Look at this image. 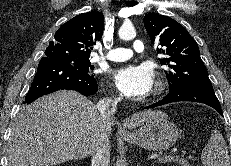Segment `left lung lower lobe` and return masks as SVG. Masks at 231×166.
<instances>
[{"mask_svg":"<svg viewBox=\"0 0 231 166\" xmlns=\"http://www.w3.org/2000/svg\"><path fill=\"white\" fill-rule=\"evenodd\" d=\"M179 101L204 103L216 109L223 116L220 103L215 95L212 84H183L176 89L170 90L162 100L147 106L144 109Z\"/></svg>","mask_w":231,"mask_h":166,"instance_id":"left-lung-lower-lobe-1","label":"left lung lower lobe"}]
</instances>
